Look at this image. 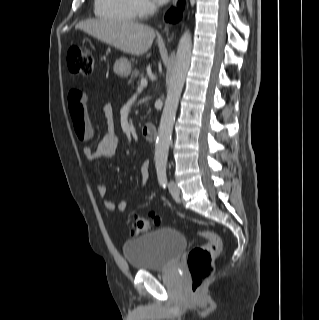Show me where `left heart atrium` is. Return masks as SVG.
<instances>
[{
  "label": "left heart atrium",
  "instance_id": "39dd6f15",
  "mask_svg": "<svg viewBox=\"0 0 319 320\" xmlns=\"http://www.w3.org/2000/svg\"><path fill=\"white\" fill-rule=\"evenodd\" d=\"M159 3H165L167 2L168 0H157Z\"/></svg>",
  "mask_w": 319,
  "mask_h": 320
}]
</instances>
